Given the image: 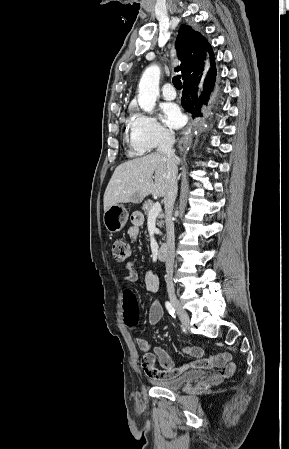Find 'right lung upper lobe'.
I'll return each mask as SVG.
<instances>
[{
  "label": "right lung upper lobe",
  "mask_w": 289,
  "mask_h": 449,
  "mask_svg": "<svg viewBox=\"0 0 289 449\" xmlns=\"http://www.w3.org/2000/svg\"><path fill=\"white\" fill-rule=\"evenodd\" d=\"M176 49L181 65L175 71L182 72L184 82L202 78L215 64L214 53L207 39L188 25H181Z\"/></svg>",
  "instance_id": "cb5924a9"
}]
</instances>
